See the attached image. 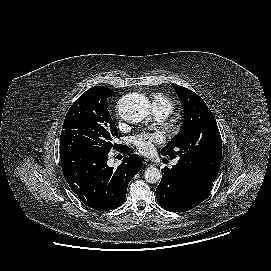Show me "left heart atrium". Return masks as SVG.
<instances>
[{
	"label": "left heart atrium",
	"instance_id": "obj_1",
	"mask_svg": "<svg viewBox=\"0 0 271 271\" xmlns=\"http://www.w3.org/2000/svg\"><path fill=\"white\" fill-rule=\"evenodd\" d=\"M162 142V136L159 132H144L134 138V144L140 153L150 155L155 150V144Z\"/></svg>",
	"mask_w": 271,
	"mask_h": 271
}]
</instances>
